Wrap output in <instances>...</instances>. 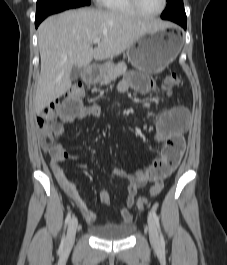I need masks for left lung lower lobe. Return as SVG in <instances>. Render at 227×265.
I'll return each mask as SVG.
<instances>
[{"label":"left lung lower lobe","mask_w":227,"mask_h":265,"mask_svg":"<svg viewBox=\"0 0 227 265\" xmlns=\"http://www.w3.org/2000/svg\"><path fill=\"white\" fill-rule=\"evenodd\" d=\"M178 24H180L184 29H186V20H172Z\"/></svg>","instance_id":"0a47b994"}]
</instances>
